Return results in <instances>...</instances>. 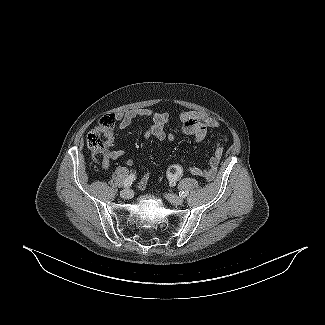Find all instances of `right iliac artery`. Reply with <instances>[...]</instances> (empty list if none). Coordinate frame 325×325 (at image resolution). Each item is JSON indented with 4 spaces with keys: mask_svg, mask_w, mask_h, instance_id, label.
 Wrapping results in <instances>:
<instances>
[{
    "mask_svg": "<svg viewBox=\"0 0 325 325\" xmlns=\"http://www.w3.org/2000/svg\"><path fill=\"white\" fill-rule=\"evenodd\" d=\"M134 180H135V174L129 175L123 182V187L128 188L129 186H131Z\"/></svg>",
    "mask_w": 325,
    "mask_h": 325,
    "instance_id": "right-iliac-artery-1",
    "label": "right iliac artery"
}]
</instances>
